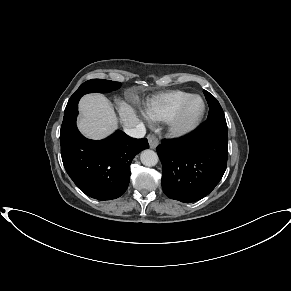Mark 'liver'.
Here are the masks:
<instances>
[{
  "label": "liver",
  "mask_w": 291,
  "mask_h": 291,
  "mask_svg": "<svg viewBox=\"0 0 291 291\" xmlns=\"http://www.w3.org/2000/svg\"><path fill=\"white\" fill-rule=\"evenodd\" d=\"M79 110L81 117L78 120V128L88 138L103 139L117 127L115 111L102 95H85L79 102ZM118 113L126 128H133L140 122L134 109L125 102H120Z\"/></svg>",
  "instance_id": "obj_1"
}]
</instances>
